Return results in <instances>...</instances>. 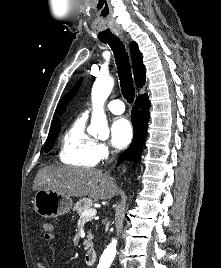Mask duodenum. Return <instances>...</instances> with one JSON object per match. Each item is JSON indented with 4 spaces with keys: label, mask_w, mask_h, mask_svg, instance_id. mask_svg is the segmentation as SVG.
<instances>
[{
    "label": "duodenum",
    "mask_w": 221,
    "mask_h": 268,
    "mask_svg": "<svg viewBox=\"0 0 221 268\" xmlns=\"http://www.w3.org/2000/svg\"><path fill=\"white\" fill-rule=\"evenodd\" d=\"M85 261L87 265H94L97 261V251L93 248L89 249L86 253Z\"/></svg>",
    "instance_id": "obj_1"
}]
</instances>
